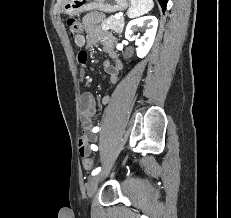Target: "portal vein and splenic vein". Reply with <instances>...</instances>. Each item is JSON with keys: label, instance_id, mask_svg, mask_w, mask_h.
Here are the masks:
<instances>
[{"label": "portal vein and splenic vein", "instance_id": "1", "mask_svg": "<svg viewBox=\"0 0 231 218\" xmlns=\"http://www.w3.org/2000/svg\"><path fill=\"white\" fill-rule=\"evenodd\" d=\"M115 17H116L117 19H119V18L121 17V15H116Z\"/></svg>", "mask_w": 231, "mask_h": 218}]
</instances>
